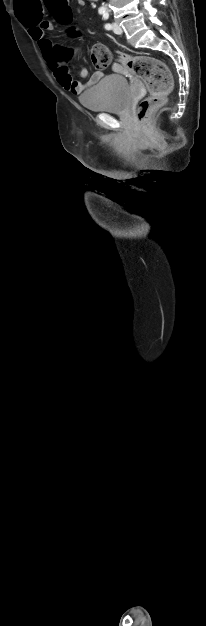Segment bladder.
<instances>
[{
  "label": "bladder",
  "mask_w": 206,
  "mask_h": 626,
  "mask_svg": "<svg viewBox=\"0 0 206 626\" xmlns=\"http://www.w3.org/2000/svg\"><path fill=\"white\" fill-rule=\"evenodd\" d=\"M80 104L92 112H123L131 102V88L122 75L104 76L79 96Z\"/></svg>",
  "instance_id": "bladder-1"
}]
</instances>
